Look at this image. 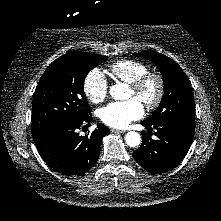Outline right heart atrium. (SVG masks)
<instances>
[{
  "mask_svg": "<svg viewBox=\"0 0 221 221\" xmlns=\"http://www.w3.org/2000/svg\"><path fill=\"white\" fill-rule=\"evenodd\" d=\"M108 87L106 76L98 68L89 71L83 82L84 94L93 104H99L106 99Z\"/></svg>",
  "mask_w": 221,
  "mask_h": 221,
  "instance_id": "1",
  "label": "right heart atrium"
}]
</instances>
